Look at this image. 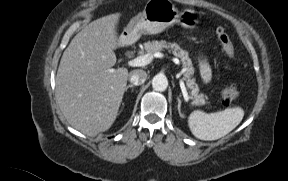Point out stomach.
<instances>
[{
    "mask_svg": "<svg viewBox=\"0 0 288 181\" xmlns=\"http://www.w3.org/2000/svg\"><path fill=\"white\" fill-rule=\"evenodd\" d=\"M199 23L192 10L179 12L170 0H148L142 12L132 18L123 36L133 40L142 34H158L173 24L195 28Z\"/></svg>",
    "mask_w": 288,
    "mask_h": 181,
    "instance_id": "0dacf381",
    "label": "stomach"
}]
</instances>
